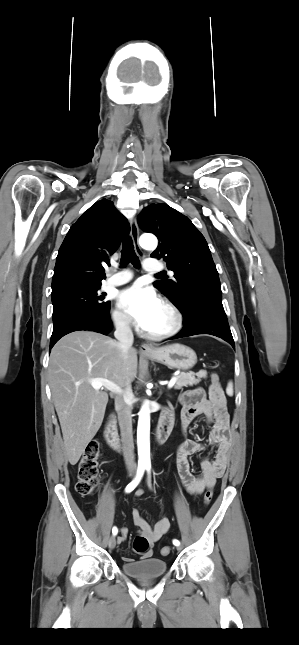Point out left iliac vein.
Listing matches in <instances>:
<instances>
[{"label": "left iliac vein", "mask_w": 299, "mask_h": 645, "mask_svg": "<svg viewBox=\"0 0 299 645\" xmlns=\"http://www.w3.org/2000/svg\"><path fill=\"white\" fill-rule=\"evenodd\" d=\"M177 550L180 551L182 549L181 545L176 546Z\"/></svg>", "instance_id": "obj_1"}]
</instances>
